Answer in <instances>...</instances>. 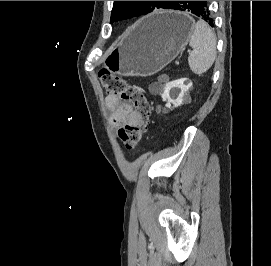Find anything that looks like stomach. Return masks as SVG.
Returning a JSON list of instances; mask_svg holds the SVG:
<instances>
[{
  "mask_svg": "<svg viewBox=\"0 0 271 266\" xmlns=\"http://www.w3.org/2000/svg\"><path fill=\"white\" fill-rule=\"evenodd\" d=\"M194 21L186 13L161 11L132 26L109 50L104 65L124 76H150L174 60L187 44Z\"/></svg>",
  "mask_w": 271,
  "mask_h": 266,
  "instance_id": "0dacf381",
  "label": "stomach"
}]
</instances>
